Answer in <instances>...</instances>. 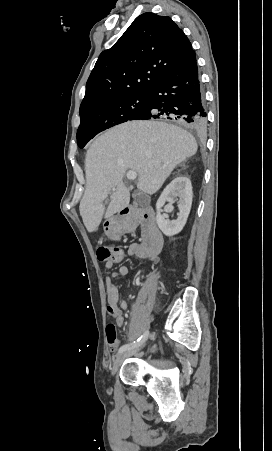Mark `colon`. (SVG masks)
<instances>
[{
    "label": "colon",
    "instance_id": "1",
    "mask_svg": "<svg viewBox=\"0 0 272 451\" xmlns=\"http://www.w3.org/2000/svg\"><path fill=\"white\" fill-rule=\"evenodd\" d=\"M97 254L96 261L97 262H106L107 259L111 256H121L122 249L121 247H107L102 245L96 246ZM105 334L107 343L109 346H115L117 340V326L114 322H108L105 326Z\"/></svg>",
    "mask_w": 272,
    "mask_h": 451
}]
</instances>
